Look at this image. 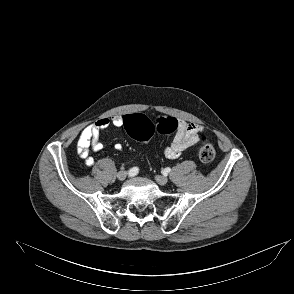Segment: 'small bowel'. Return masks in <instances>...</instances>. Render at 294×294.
I'll return each instance as SVG.
<instances>
[{"label":"small bowel","instance_id":"1","mask_svg":"<svg viewBox=\"0 0 294 294\" xmlns=\"http://www.w3.org/2000/svg\"><path fill=\"white\" fill-rule=\"evenodd\" d=\"M124 116H113L109 118H101L91 125L85 127L78 139L77 153L84 159L86 165L92 166L94 158L89 154V148L94 151L103 149L100 139L101 132L109 127L120 128L123 126ZM176 134L170 146L164 149V155L168 159H176L180 157L188 148L196 145L200 141V133L203 132L202 126L179 120ZM116 149H122V145L117 144Z\"/></svg>","mask_w":294,"mask_h":294}]
</instances>
